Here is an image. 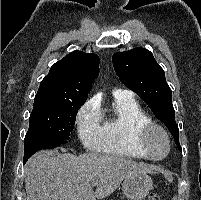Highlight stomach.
<instances>
[{"instance_id": "0dacf381", "label": "stomach", "mask_w": 201, "mask_h": 200, "mask_svg": "<svg viewBox=\"0 0 201 200\" xmlns=\"http://www.w3.org/2000/svg\"><path fill=\"white\" fill-rule=\"evenodd\" d=\"M153 187L152 179L147 174L128 176L122 183V190L131 200H143Z\"/></svg>"}]
</instances>
